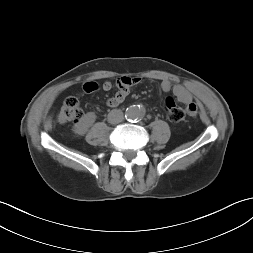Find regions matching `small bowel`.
<instances>
[{
    "instance_id": "small-bowel-1",
    "label": "small bowel",
    "mask_w": 253,
    "mask_h": 253,
    "mask_svg": "<svg viewBox=\"0 0 253 253\" xmlns=\"http://www.w3.org/2000/svg\"><path fill=\"white\" fill-rule=\"evenodd\" d=\"M141 78L134 76H123L117 80L118 91L107 99L106 104L110 107L120 105L128 96L131 87L139 84ZM164 92H172L174 96L186 106L183 109V114L187 118H194L197 115L198 105L194 102L192 93L181 84H172L169 80H163L160 85ZM104 91H109L112 88L110 82H104L102 85ZM83 89L87 93H93L98 89V84L93 81H88L83 85Z\"/></svg>"
}]
</instances>
